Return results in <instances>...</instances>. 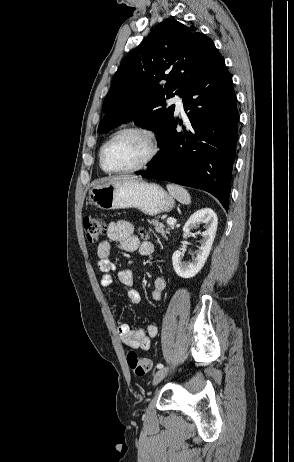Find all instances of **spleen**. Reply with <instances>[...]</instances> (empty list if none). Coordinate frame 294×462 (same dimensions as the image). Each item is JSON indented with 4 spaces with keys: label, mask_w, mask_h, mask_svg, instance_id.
<instances>
[{
    "label": "spleen",
    "mask_w": 294,
    "mask_h": 462,
    "mask_svg": "<svg viewBox=\"0 0 294 462\" xmlns=\"http://www.w3.org/2000/svg\"><path fill=\"white\" fill-rule=\"evenodd\" d=\"M167 190L169 191L170 195H172L179 202L186 204V205L191 203L190 194L185 188L179 185L168 184Z\"/></svg>",
    "instance_id": "3e777b00"
}]
</instances>
